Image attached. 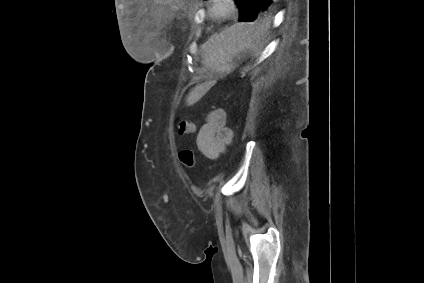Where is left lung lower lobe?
Listing matches in <instances>:
<instances>
[{"label":"left lung lower lobe","mask_w":424,"mask_h":283,"mask_svg":"<svg viewBox=\"0 0 424 283\" xmlns=\"http://www.w3.org/2000/svg\"><path fill=\"white\" fill-rule=\"evenodd\" d=\"M272 0H264L260 6V13H268L270 11V5Z\"/></svg>","instance_id":"obj_1"}]
</instances>
